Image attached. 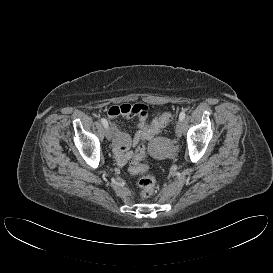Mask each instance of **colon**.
<instances>
[{
  "mask_svg": "<svg viewBox=\"0 0 273 273\" xmlns=\"http://www.w3.org/2000/svg\"><path fill=\"white\" fill-rule=\"evenodd\" d=\"M173 120V114L170 112H163L156 117L150 125H148L143 132L144 140H150L159 134L167 125ZM145 147L140 145L133 157L129 166V171L133 175H140L138 180L139 193L141 197H151L155 192L156 180L151 174H148V165L145 162Z\"/></svg>",
  "mask_w": 273,
  "mask_h": 273,
  "instance_id": "obj_1",
  "label": "colon"
}]
</instances>
